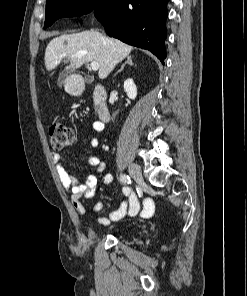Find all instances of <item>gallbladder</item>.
I'll list each match as a JSON object with an SVG mask.
<instances>
[{
    "mask_svg": "<svg viewBox=\"0 0 247 296\" xmlns=\"http://www.w3.org/2000/svg\"><path fill=\"white\" fill-rule=\"evenodd\" d=\"M66 73H62L61 75H60V77H59V80H58V83H59V86H62L63 85V83H64V80H65V78H66ZM85 81L87 82V83H91L92 81H93V78H91V77H85Z\"/></svg>",
    "mask_w": 247,
    "mask_h": 296,
    "instance_id": "gallbladder-1",
    "label": "gallbladder"
}]
</instances>
